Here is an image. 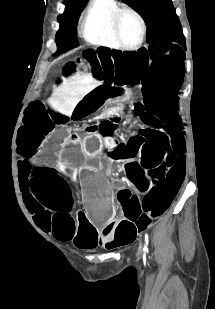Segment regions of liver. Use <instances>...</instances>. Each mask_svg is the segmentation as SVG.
<instances>
[{"instance_id": "6515ba94", "label": "liver", "mask_w": 215, "mask_h": 309, "mask_svg": "<svg viewBox=\"0 0 215 309\" xmlns=\"http://www.w3.org/2000/svg\"><path fill=\"white\" fill-rule=\"evenodd\" d=\"M83 68L84 70H79L77 66L76 72H72L67 78L62 76V84L54 86L53 92L48 98V102L66 116H71L78 102L93 88L102 84L101 80L94 78L92 72H88L87 66H83Z\"/></svg>"}]
</instances>
